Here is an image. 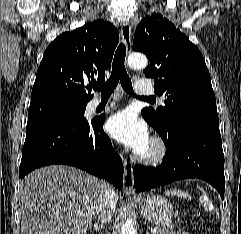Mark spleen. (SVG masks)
I'll return each instance as SVG.
<instances>
[{"mask_svg":"<svg viewBox=\"0 0 241 234\" xmlns=\"http://www.w3.org/2000/svg\"><path fill=\"white\" fill-rule=\"evenodd\" d=\"M166 195H168V196L171 195V196H177V197H181V198L191 199V197L189 196L188 193H186L185 191H182V190H177V189L167 191Z\"/></svg>","mask_w":241,"mask_h":234,"instance_id":"spleen-1","label":"spleen"}]
</instances>
